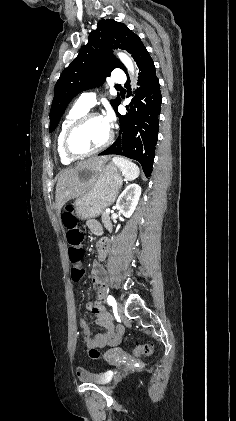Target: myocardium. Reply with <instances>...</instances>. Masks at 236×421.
Listing matches in <instances>:
<instances>
[{
    "instance_id": "f54148a6",
    "label": "myocardium",
    "mask_w": 236,
    "mask_h": 421,
    "mask_svg": "<svg viewBox=\"0 0 236 421\" xmlns=\"http://www.w3.org/2000/svg\"><path fill=\"white\" fill-rule=\"evenodd\" d=\"M96 117L103 118L102 115L97 112H85L82 115H80L78 118H76L67 128L63 137V150L71 159L75 160V159H82V158L89 157L95 153H98L104 150L106 147H108L111 144L114 137V133H113V130L109 128V134H108L107 139L98 147L85 153H79L73 148L72 137L76 129L88 119L96 118Z\"/></svg>"
}]
</instances>
